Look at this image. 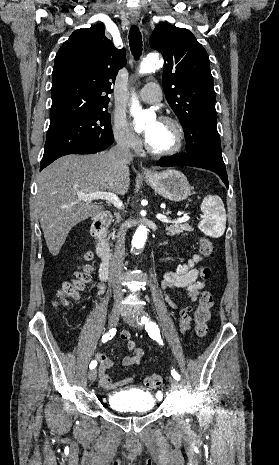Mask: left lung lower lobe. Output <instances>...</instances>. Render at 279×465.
<instances>
[{
  "label": "left lung lower lobe",
  "instance_id": "1",
  "mask_svg": "<svg viewBox=\"0 0 279 465\" xmlns=\"http://www.w3.org/2000/svg\"><path fill=\"white\" fill-rule=\"evenodd\" d=\"M159 166L161 167H170V166H192V167H199L203 169H207L210 171L215 172L222 181L225 183L226 187L228 188V177L226 173L225 166L219 165L201 155L193 154V153H178L171 157H164L161 158L159 161Z\"/></svg>",
  "mask_w": 279,
  "mask_h": 465
}]
</instances>
